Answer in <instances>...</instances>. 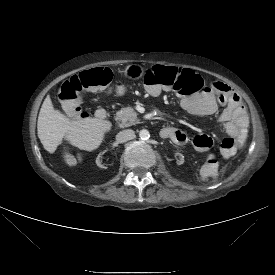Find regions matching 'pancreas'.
<instances>
[{
	"label": "pancreas",
	"mask_w": 275,
	"mask_h": 275,
	"mask_svg": "<svg viewBox=\"0 0 275 275\" xmlns=\"http://www.w3.org/2000/svg\"><path fill=\"white\" fill-rule=\"evenodd\" d=\"M116 120L118 121L119 127H129L139 123L137 113L131 107H123L116 113Z\"/></svg>",
	"instance_id": "cf45deb5"
}]
</instances>
